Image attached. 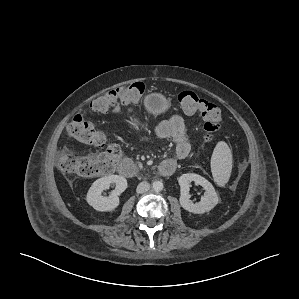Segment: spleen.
<instances>
[{
	"instance_id": "3e777b00",
	"label": "spleen",
	"mask_w": 299,
	"mask_h": 299,
	"mask_svg": "<svg viewBox=\"0 0 299 299\" xmlns=\"http://www.w3.org/2000/svg\"><path fill=\"white\" fill-rule=\"evenodd\" d=\"M211 170L215 181L225 185L232 170V153L226 142L220 141L214 148L211 157Z\"/></svg>"
}]
</instances>
